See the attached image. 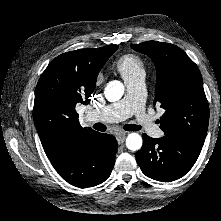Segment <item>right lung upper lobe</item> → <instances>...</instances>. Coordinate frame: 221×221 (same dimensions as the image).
I'll use <instances>...</instances> for the list:
<instances>
[{
  "mask_svg": "<svg viewBox=\"0 0 221 221\" xmlns=\"http://www.w3.org/2000/svg\"><path fill=\"white\" fill-rule=\"evenodd\" d=\"M115 46L61 54L41 75L35 90L33 119L49 160L68 145L96 133L81 127L75 106L89 103L97 75Z\"/></svg>",
  "mask_w": 221,
  "mask_h": 221,
  "instance_id": "obj_1",
  "label": "right lung upper lobe"
}]
</instances>
